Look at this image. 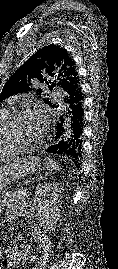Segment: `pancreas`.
I'll use <instances>...</instances> for the list:
<instances>
[{"mask_svg":"<svg viewBox=\"0 0 118 269\" xmlns=\"http://www.w3.org/2000/svg\"><path fill=\"white\" fill-rule=\"evenodd\" d=\"M36 178L35 177H25L24 180H19V187H13L12 191L13 192H20L21 190H25L26 186L28 185V182H35Z\"/></svg>","mask_w":118,"mask_h":269,"instance_id":"cf45deb5","label":"pancreas"}]
</instances>
